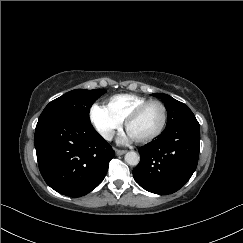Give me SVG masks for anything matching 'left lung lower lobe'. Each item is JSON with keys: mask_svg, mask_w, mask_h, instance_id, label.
Segmentation results:
<instances>
[{"mask_svg": "<svg viewBox=\"0 0 243 243\" xmlns=\"http://www.w3.org/2000/svg\"><path fill=\"white\" fill-rule=\"evenodd\" d=\"M199 151L200 125L190 115L139 149L140 162L133 170V177L149 192L174 193L194 173Z\"/></svg>", "mask_w": 243, "mask_h": 243, "instance_id": "left-lung-lower-lobe-1", "label": "left lung lower lobe"}]
</instances>
